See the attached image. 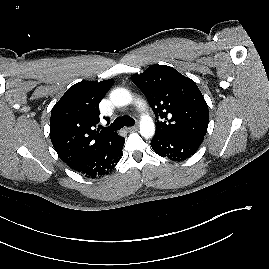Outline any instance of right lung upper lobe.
Listing matches in <instances>:
<instances>
[{
  "label": "right lung upper lobe",
  "mask_w": 269,
  "mask_h": 269,
  "mask_svg": "<svg viewBox=\"0 0 269 269\" xmlns=\"http://www.w3.org/2000/svg\"><path fill=\"white\" fill-rule=\"evenodd\" d=\"M113 82H79L54 105L50 138L57 154L70 168L117 136L116 132L95 129L100 121L99 103Z\"/></svg>",
  "instance_id": "right-lung-upper-lobe-1"
}]
</instances>
